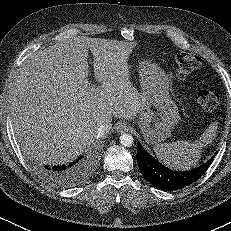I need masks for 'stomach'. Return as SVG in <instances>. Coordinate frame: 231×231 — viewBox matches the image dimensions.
<instances>
[{"mask_svg":"<svg viewBox=\"0 0 231 231\" xmlns=\"http://www.w3.org/2000/svg\"><path fill=\"white\" fill-rule=\"evenodd\" d=\"M140 100L138 126L148 144L166 140L179 120L178 107L170 96V79L150 60L139 63Z\"/></svg>","mask_w":231,"mask_h":231,"instance_id":"0dacf381","label":"stomach"}]
</instances>
